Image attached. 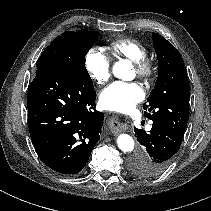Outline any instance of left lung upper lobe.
Returning <instances> with one entry per match:
<instances>
[{"instance_id":"left-lung-upper-lobe-1","label":"left lung upper lobe","mask_w":211,"mask_h":211,"mask_svg":"<svg viewBox=\"0 0 211 211\" xmlns=\"http://www.w3.org/2000/svg\"><path fill=\"white\" fill-rule=\"evenodd\" d=\"M159 73L144 113L152 121L167 123L184 134L189 119V82L180 52L161 35L153 33Z\"/></svg>"}]
</instances>
